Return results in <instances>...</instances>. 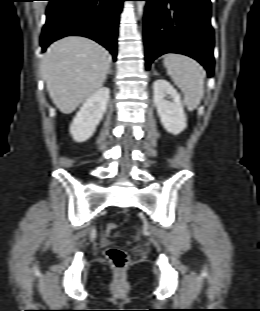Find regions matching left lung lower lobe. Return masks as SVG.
I'll return each mask as SVG.
<instances>
[{
	"label": "left lung lower lobe",
	"instance_id": "left-lung-lower-lobe-1",
	"mask_svg": "<svg viewBox=\"0 0 260 311\" xmlns=\"http://www.w3.org/2000/svg\"><path fill=\"white\" fill-rule=\"evenodd\" d=\"M146 68L165 53H179L200 62L212 76L214 34L210 0H143Z\"/></svg>",
	"mask_w": 260,
	"mask_h": 311
}]
</instances>
